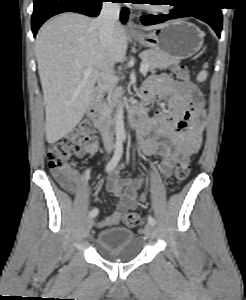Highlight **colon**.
Segmentation results:
<instances>
[{"instance_id":"5ec220e1","label":"colon","mask_w":246,"mask_h":300,"mask_svg":"<svg viewBox=\"0 0 246 300\" xmlns=\"http://www.w3.org/2000/svg\"><path fill=\"white\" fill-rule=\"evenodd\" d=\"M174 73L186 85L194 107L198 110L201 109L203 106L202 94L190 81L188 67L184 64H177L174 67ZM93 133V126L88 120L80 122L64 140L49 147L47 152L48 168L58 177L75 178L76 171L71 164V158L85 150ZM190 172V162L187 160L180 162L174 172L175 183L184 182ZM122 220L129 227L139 226L143 223L142 218L136 213L124 214Z\"/></svg>"}]
</instances>
